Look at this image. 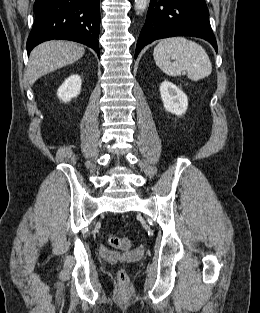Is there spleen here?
I'll return each instance as SVG.
<instances>
[{
  "label": "spleen",
  "mask_w": 260,
  "mask_h": 313,
  "mask_svg": "<svg viewBox=\"0 0 260 313\" xmlns=\"http://www.w3.org/2000/svg\"><path fill=\"white\" fill-rule=\"evenodd\" d=\"M153 56L156 65L169 76H180L185 71L190 80L198 81L212 72L206 51L198 43L184 37L161 40L154 48Z\"/></svg>",
  "instance_id": "spleen-1"
}]
</instances>
